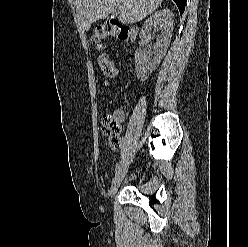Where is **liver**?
I'll return each instance as SVG.
<instances>
[{
	"label": "liver",
	"mask_w": 248,
	"mask_h": 247,
	"mask_svg": "<svg viewBox=\"0 0 248 247\" xmlns=\"http://www.w3.org/2000/svg\"><path fill=\"white\" fill-rule=\"evenodd\" d=\"M163 0H74L76 11L86 30L92 23L108 17L110 13L118 15L123 24L138 22L154 12Z\"/></svg>",
	"instance_id": "obj_1"
}]
</instances>
